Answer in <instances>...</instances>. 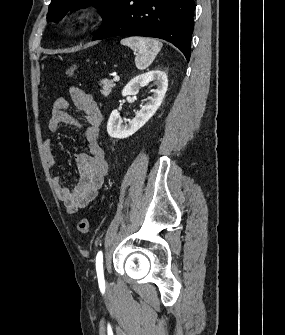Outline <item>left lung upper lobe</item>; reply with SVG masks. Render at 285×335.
Returning <instances> with one entry per match:
<instances>
[{
	"mask_svg": "<svg viewBox=\"0 0 285 335\" xmlns=\"http://www.w3.org/2000/svg\"><path fill=\"white\" fill-rule=\"evenodd\" d=\"M118 0H52L49 5L47 21H58L68 11H75L82 6L96 4L102 10V19L110 12Z\"/></svg>",
	"mask_w": 285,
	"mask_h": 335,
	"instance_id": "obj_1",
	"label": "left lung upper lobe"
}]
</instances>
